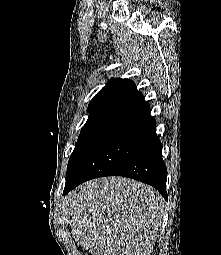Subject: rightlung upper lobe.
Returning <instances> with one entry per match:
<instances>
[{"mask_svg":"<svg viewBox=\"0 0 221 255\" xmlns=\"http://www.w3.org/2000/svg\"><path fill=\"white\" fill-rule=\"evenodd\" d=\"M135 83L128 79H112L89 104L88 111L105 108L118 109L139 96Z\"/></svg>","mask_w":221,"mask_h":255,"instance_id":"1","label":"right lung upper lobe"}]
</instances>
